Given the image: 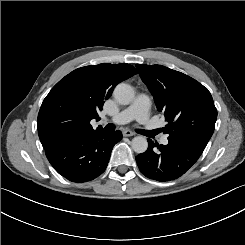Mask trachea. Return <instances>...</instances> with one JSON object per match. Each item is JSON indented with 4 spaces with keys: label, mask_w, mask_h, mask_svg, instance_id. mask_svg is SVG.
Wrapping results in <instances>:
<instances>
[{
    "label": "trachea",
    "mask_w": 245,
    "mask_h": 245,
    "mask_svg": "<svg viewBox=\"0 0 245 245\" xmlns=\"http://www.w3.org/2000/svg\"><path fill=\"white\" fill-rule=\"evenodd\" d=\"M105 129L108 130V131H114L115 130V126L113 124H107L105 126ZM137 132L139 133L140 130H137Z\"/></svg>",
    "instance_id": "obj_1"
}]
</instances>
